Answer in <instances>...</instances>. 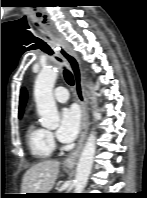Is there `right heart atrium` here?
<instances>
[{"label": "right heart atrium", "instance_id": "right-heart-atrium-1", "mask_svg": "<svg viewBox=\"0 0 147 198\" xmlns=\"http://www.w3.org/2000/svg\"><path fill=\"white\" fill-rule=\"evenodd\" d=\"M49 139H50L51 144L54 146L55 142H54L53 135L51 133H49Z\"/></svg>", "mask_w": 147, "mask_h": 198}]
</instances>
